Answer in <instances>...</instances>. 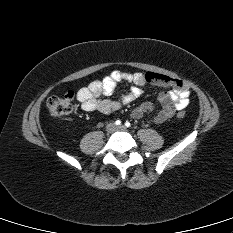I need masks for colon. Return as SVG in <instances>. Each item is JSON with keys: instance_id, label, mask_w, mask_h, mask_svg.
Segmentation results:
<instances>
[{"instance_id": "5ec220e1", "label": "colon", "mask_w": 233, "mask_h": 233, "mask_svg": "<svg viewBox=\"0 0 233 233\" xmlns=\"http://www.w3.org/2000/svg\"><path fill=\"white\" fill-rule=\"evenodd\" d=\"M74 93L68 91L63 96H53L47 100V109L49 113L55 118H61L69 114L73 109ZM179 118L185 117L184 111L177 113Z\"/></svg>"}]
</instances>
